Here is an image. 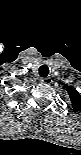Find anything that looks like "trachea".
Wrapping results in <instances>:
<instances>
[{"label":"trachea","instance_id":"3493384b","mask_svg":"<svg viewBox=\"0 0 81 155\" xmlns=\"http://www.w3.org/2000/svg\"><path fill=\"white\" fill-rule=\"evenodd\" d=\"M49 74V68L46 65H42L39 68V75L41 77H46Z\"/></svg>","mask_w":81,"mask_h":155}]
</instances>
